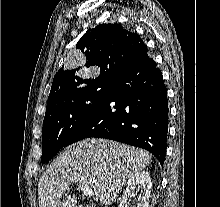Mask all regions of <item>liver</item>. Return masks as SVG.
I'll return each instance as SVG.
<instances>
[{
	"label": "liver",
	"instance_id": "liver-1",
	"mask_svg": "<svg viewBox=\"0 0 220 207\" xmlns=\"http://www.w3.org/2000/svg\"><path fill=\"white\" fill-rule=\"evenodd\" d=\"M151 162L148 152L112 140L89 138L69 146L44 172L38 183L39 207H76L68 186L84 184L107 207L118 198L123 185Z\"/></svg>",
	"mask_w": 220,
	"mask_h": 207
}]
</instances>
